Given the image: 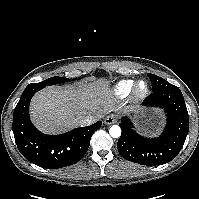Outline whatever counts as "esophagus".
<instances>
[{
	"label": "esophagus",
	"instance_id": "34e87169",
	"mask_svg": "<svg viewBox=\"0 0 199 199\" xmlns=\"http://www.w3.org/2000/svg\"><path fill=\"white\" fill-rule=\"evenodd\" d=\"M116 122H117V119H116V117H115L113 114L108 115V116L104 119V123H105L106 125H111V124H114V123H116Z\"/></svg>",
	"mask_w": 199,
	"mask_h": 199
}]
</instances>
